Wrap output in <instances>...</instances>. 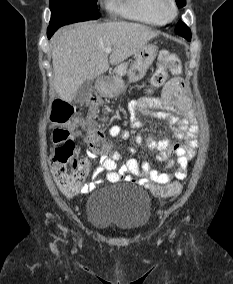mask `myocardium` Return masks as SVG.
I'll return each instance as SVG.
<instances>
[{
	"label": "myocardium",
	"mask_w": 233,
	"mask_h": 284,
	"mask_svg": "<svg viewBox=\"0 0 233 284\" xmlns=\"http://www.w3.org/2000/svg\"><path fill=\"white\" fill-rule=\"evenodd\" d=\"M156 11L166 23L174 20L178 15V6L175 0H157Z\"/></svg>",
	"instance_id": "obj_1"
}]
</instances>
